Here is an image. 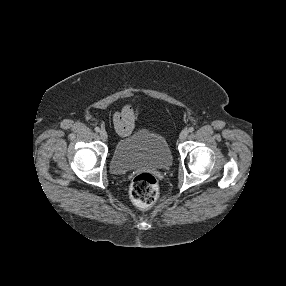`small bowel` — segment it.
<instances>
[{
  "mask_svg": "<svg viewBox=\"0 0 286 286\" xmlns=\"http://www.w3.org/2000/svg\"><path fill=\"white\" fill-rule=\"evenodd\" d=\"M137 118V108L132 105L124 106L113 115V123L118 134L126 136L134 129Z\"/></svg>",
  "mask_w": 286,
  "mask_h": 286,
  "instance_id": "1",
  "label": "small bowel"
}]
</instances>
